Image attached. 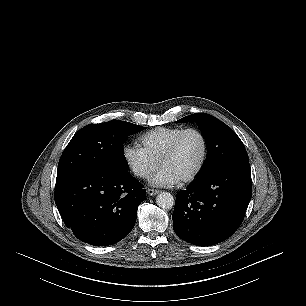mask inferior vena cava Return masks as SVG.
Returning <instances> with one entry per match:
<instances>
[{"instance_id":"inferior-vena-cava-1","label":"inferior vena cava","mask_w":306,"mask_h":306,"mask_svg":"<svg viewBox=\"0 0 306 306\" xmlns=\"http://www.w3.org/2000/svg\"><path fill=\"white\" fill-rule=\"evenodd\" d=\"M140 174H141L142 176H145V175H147V173H143V172H140Z\"/></svg>"}]
</instances>
